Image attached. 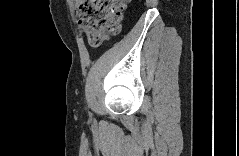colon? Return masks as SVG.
I'll list each match as a JSON object with an SVG mask.
<instances>
[{
	"mask_svg": "<svg viewBox=\"0 0 239 156\" xmlns=\"http://www.w3.org/2000/svg\"><path fill=\"white\" fill-rule=\"evenodd\" d=\"M126 3L123 0H90L78 8L79 25L90 45L100 46L121 30Z\"/></svg>",
	"mask_w": 239,
	"mask_h": 156,
	"instance_id": "5ec220e1",
	"label": "colon"
}]
</instances>
